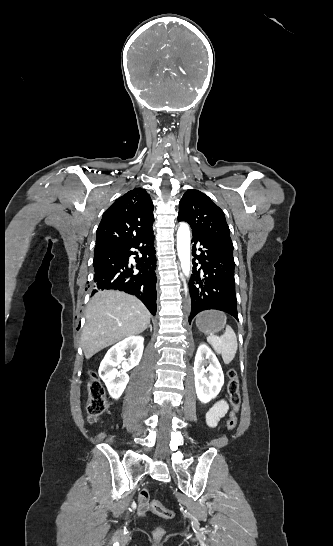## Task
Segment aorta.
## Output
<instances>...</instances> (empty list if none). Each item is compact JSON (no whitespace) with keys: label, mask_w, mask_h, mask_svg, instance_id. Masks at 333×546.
<instances>
[{"label":"aorta","mask_w":333,"mask_h":546,"mask_svg":"<svg viewBox=\"0 0 333 546\" xmlns=\"http://www.w3.org/2000/svg\"><path fill=\"white\" fill-rule=\"evenodd\" d=\"M177 251L183 273L190 275V228L182 222L177 231Z\"/></svg>","instance_id":"1"}]
</instances>
